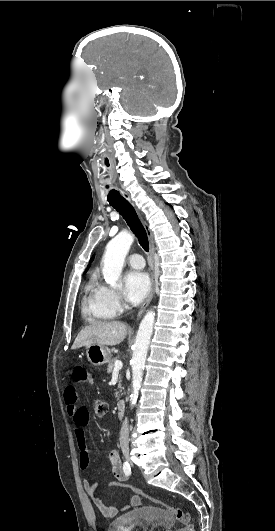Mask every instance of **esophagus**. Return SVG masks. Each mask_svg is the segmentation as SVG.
<instances>
[{"label": "esophagus", "mask_w": 275, "mask_h": 531, "mask_svg": "<svg viewBox=\"0 0 275 531\" xmlns=\"http://www.w3.org/2000/svg\"><path fill=\"white\" fill-rule=\"evenodd\" d=\"M122 194H123L124 197H127L129 199V196L127 195V193H125L123 191ZM143 224H144L145 231L147 233V237H148V241H149L150 254H151L150 292H149V295L147 296L146 300L144 301V303L142 304V306L140 307V309L138 311L137 319L141 318L142 314L144 313L145 309L147 308L148 304L150 303V301H151V299L153 297L154 285H155V281H154V251H155V248H154L153 233H152V231L150 230L148 224L145 221H143Z\"/></svg>", "instance_id": "obj_1"}]
</instances>
